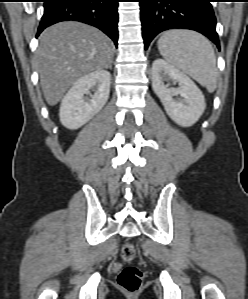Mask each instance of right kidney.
Instances as JSON below:
<instances>
[{
  "mask_svg": "<svg viewBox=\"0 0 248 299\" xmlns=\"http://www.w3.org/2000/svg\"><path fill=\"white\" fill-rule=\"evenodd\" d=\"M111 74L99 69L78 79L64 96L60 106V121L68 129H78L92 119L106 104ZM94 91L91 99L84 96Z\"/></svg>",
  "mask_w": 248,
  "mask_h": 299,
  "instance_id": "1",
  "label": "right kidney"
}]
</instances>
